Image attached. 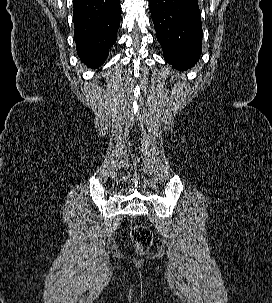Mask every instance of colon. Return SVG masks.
I'll list each match as a JSON object with an SVG mask.
<instances>
[{
    "mask_svg": "<svg viewBox=\"0 0 272 303\" xmlns=\"http://www.w3.org/2000/svg\"><path fill=\"white\" fill-rule=\"evenodd\" d=\"M152 232L149 228L136 225L131 231V239L140 254H145L152 243Z\"/></svg>",
    "mask_w": 272,
    "mask_h": 303,
    "instance_id": "1",
    "label": "colon"
}]
</instances>
